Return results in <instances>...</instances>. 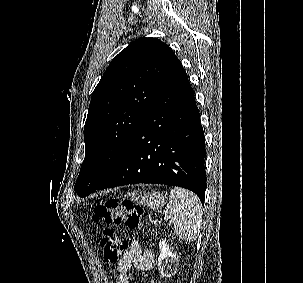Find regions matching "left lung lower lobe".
<instances>
[{
	"label": "left lung lower lobe",
	"instance_id": "0a47b994",
	"mask_svg": "<svg viewBox=\"0 0 303 283\" xmlns=\"http://www.w3.org/2000/svg\"><path fill=\"white\" fill-rule=\"evenodd\" d=\"M205 140L193 89L178 58L164 77L149 109L112 176L98 188L136 183L174 185L195 192L204 203Z\"/></svg>",
	"mask_w": 303,
	"mask_h": 283
}]
</instances>
